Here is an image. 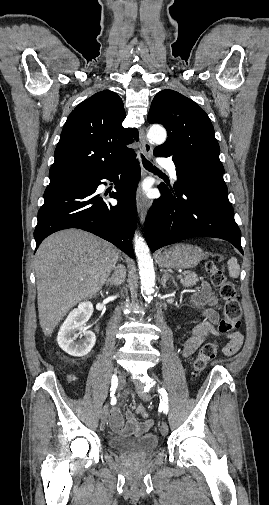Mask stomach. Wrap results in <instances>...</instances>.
<instances>
[{
    "mask_svg": "<svg viewBox=\"0 0 269 505\" xmlns=\"http://www.w3.org/2000/svg\"><path fill=\"white\" fill-rule=\"evenodd\" d=\"M205 255L198 246L180 243L159 252L157 260L161 267L190 269L195 267Z\"/></svg>",
    "mask_w": 269,
    "mask_h": 505,
    "instance_id": "stomach-1",
    "label": "stomach"
}]
</instances>
